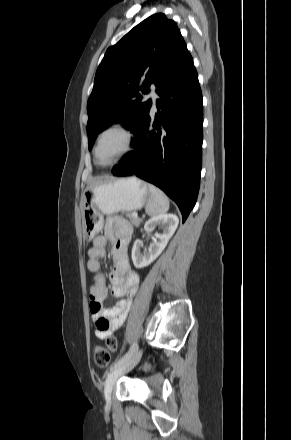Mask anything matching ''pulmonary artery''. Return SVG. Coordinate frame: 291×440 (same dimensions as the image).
I'll use <instances>...</instances> for the list:
<instances>
[{
	"label": "pulmonary artery",
	"instance_id": "1",
	"mask_svg": "<svg viewBox=\"0 0 291 440\" xmlns=\"http://www.w3.org/2000/svg\"><path fill=\"white\" fill-rule=\"evenodd\" d=\"M147 97H148V98H151V99H153V100H155V98H156V93H155L154 89H151V90H150V92L148 93ZM153 109H154V107H153Z\"/></svg>",
	"mask_w": 291,
	"mask_h": 440
}]
</instances>
